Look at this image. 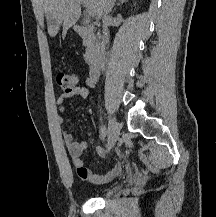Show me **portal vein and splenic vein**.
Returning <instances> with one entry per match:
<instances>
[{
  "instance_id": "portal-vein-and-splenic-vein-1",
  "label": "portal vein and splenic vein",
  "mask_w": 216,
  "mask_h": 217,
  "mask_svg": "<svg viewBox=\"0 0 216 217\" xmlns=\"http://www.w3.org/2000/svg\"><path fill=\"white\" fill-rule=\"evenodd\" d=\"M79 2L86 7V13L89 17L94 16V12L90 8V6L86 3L85 0H79Z\"/></svg>"
}]
</instances>
